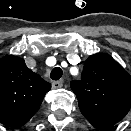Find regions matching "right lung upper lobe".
<instances>
[{
	"instance_id": "right-lung-upper-lobe-1",
	"label": "right lung upper lobe",
	"mask_w": 131,
	"mask_h": 131,
	"mask_svg": "<svg viewBox=\"0 0 131 131\" xmlns=\"http://www.w3.org/2000/svg\"><path fill=\"white\" fill-rule=\"evenodd\" d=\"M50 89V83L31 71L23 59L13 55L0 59V123L25 125Z\"/></svg>"
}]
</instances>
